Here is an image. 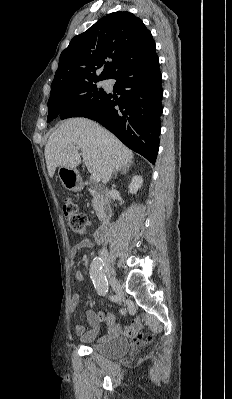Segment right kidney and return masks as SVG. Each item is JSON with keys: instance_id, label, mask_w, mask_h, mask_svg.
Here are the masks:
<instances>
[{"instance_id": "right-kidney-1", "label": "right kidney", "mask_w": 232, "mask_h": 399, "mask_svg": "<svg viewBox=\"0 0 232 399\" xmlns=\"http://www.w3.org/2000/svg\"><path fill=\"white\" fill-rule=\"evenodd\" d=\"M142 184H143L142 176H133L131 184H129L130 194H137V190L141 188Z\"/></svg>"}]
</instances>
